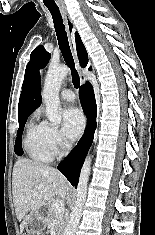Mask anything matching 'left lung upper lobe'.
Returning a JSON list of instances; mask_svg holds the SVG:
<instances>
[{
    "label": "left lung upper lobe",
    "mask_w": 155,
    "mask_h": 235,
    "mask_svg": "<svg viewBox=\"0 0 155 235\" xmlns=\"http://www.w3.org/2000/svg\"><path fill=\"white\" fill-rule=\"evenodd\" d=\"M50 56L51 55L45 50V48L42 45L35 48L30 55V61L26 67L24 81L28 79L30 74L35 69L44 68L48 63Z\"/></svg>",
    "instance_id": "1"
}]
</instances>
